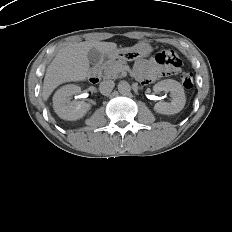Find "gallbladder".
I'll return each instance as SVG.
<instances>
[{"label":"gallbladder","mask_w":232,"mask_h":232,"mask_svg":"<svg viewBox=\"0 0 232 232\" xmlns=\"http://www.w3.org/2000/svg\"><path fill=\"white\" fill-rule=\"evenodd\" d=\"M87 57L92 65H97L101 61L102 54L96 48H92L89 50Z\"/></svg>","instance_id":"1"}]
</instances>
